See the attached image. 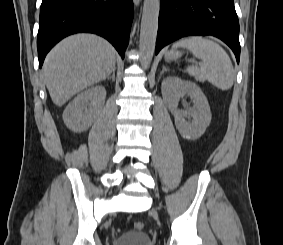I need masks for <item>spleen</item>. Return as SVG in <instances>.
Wrapping results in <instances>:
<instances>
[{
  "label": "spleen",
  "instance_id": "spleen-1",
  "mask_svg": "<svg viewBox=\"0 0 283 245\" xmlns=\"http://www.w3.org/2000/svg\"><path fill=\"white\" fill-rule=\"evenodd\" d=\"M187 48L202 60L200 67L189 66L187 73L198 81H209L221 90L233 86L235 74L232 62L226 51L216 42L203 37H190L179 40L173 48Z\"/></svg>",
  "mask_w": 283,
  "mask_h": 245
}]
</instances>
